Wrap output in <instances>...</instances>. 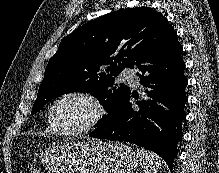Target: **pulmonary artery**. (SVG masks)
Returning <instances> with one entry per match:
<instances>
[{
  "mask_svg": "<svg viewBox=\"0 0 219 173\" xmlns=\"http://www.w3.org/2000/svg\"><path fill=\"white\" fill-rule=\"evenodd\" d=\"M120 76L122 79H126L127 81H129L135 85L138 83L136 73L132 69H129V68L124 69L121 72Z\"/></svg>",
  "mask_w": 219,
  "mask_h": 173,
  "instance_id": "1",
  "label": "pulmonary artery"
}]
</instances>
